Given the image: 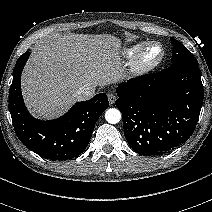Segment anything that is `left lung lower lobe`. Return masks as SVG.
Returning <instances> with one entry per match:
<instances>
[{
  "label": "left lung lower lobe",
  "mask_w": 212,
  "mask_h": 212,
  "mask_svg": "<svg viewBox=\"0 0 212 212\" xmlns=\"http://www.w3.org/2000/svg\"><path fill=\"white\" fill-rule=\"evenodd\" d=\"M116 93L126 140L146 156L164 154L187 141L203 102L198 63L171 65L130 79Z\"/></svg>",
  "instance_id": "left-lung-lower-lobe-1"
}]
</instances>
